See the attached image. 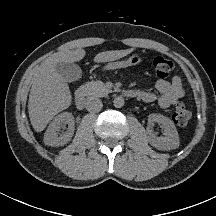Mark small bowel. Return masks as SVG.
Segmentation results:
<instances>
[{"label":"small bowel","mask_w":216,"mask_h":216,"mask_svg":"<svg viewBox=\"0 0 216 216\" xmlns=\"http://www.w3.org/2000/svg\"><path fill=\"white\" fill-rule=\"evenodd\" d=\"M155 87L160 94L158 103L162 108H169L184 96L182 81L179 76H174L171 80L160 79L156 82ZM140 93L142 94L141 100L144 102H153L157 99L153 92L140 91Z\"/></svg>","instance_id":"c3829d8e"}]
</instances>
